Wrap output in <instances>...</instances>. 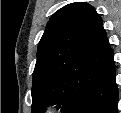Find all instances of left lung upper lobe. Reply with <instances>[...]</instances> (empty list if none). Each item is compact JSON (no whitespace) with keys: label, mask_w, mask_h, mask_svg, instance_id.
<instances>
[{"label":"left lung upper lobe","mask_w":121,"mask_h":113,"mask_svg":"<svg viewBox=\"0 0 121 113\" xmlns=\"http://www.w3.org/2000/svg\"><path fill=\"white\" fill-rule=\"evenodd\" d=\"M112 56L102 19L91 5L75 2L59 9L38 45L32 112L57 105L70 113Z\"/></svg>","instance_id":"obj_1"}]
</instances>
